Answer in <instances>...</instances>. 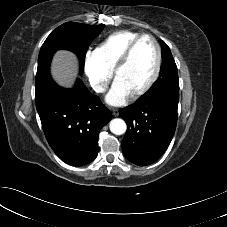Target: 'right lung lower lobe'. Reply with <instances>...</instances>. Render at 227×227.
Wrapping results in <instances>:
<instances>
[{"mask_svg": "<svg viewBox=\"0 0 227 227\" xmlns=\"http://www.w3.org/2000/svg\"><path fill=\"white\" fill-rule=\"evenodd\" d=\"M35 93L43 131L56 155L73 166L94 160L99 151V131L112 118L98 96L80 79L73 88H63L50 76L36 83Z\"/></svg>", "mask_w": 227, "mask_h": 227, "instance_id": "98d812e1", "label": "right lung lower lobe"}]
</instances>
